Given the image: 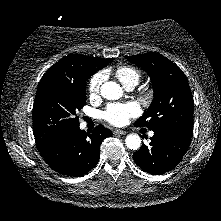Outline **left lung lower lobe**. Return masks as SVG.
<instances>
[{
  "label": "left lung lower lobe",
  "mask_w": 221,
  "mask_h": 221,
  "mask_svg": "<svg viewBox=\"0 0 221 221\" xmlns=\"http://www.w3.org/2000/svg\"><path fill=\"white\" fill-rule=\"evenodd\" d=\"M191 137L169 131H154L149 146L133 154L135 163L144 171L161 175L175 168L187 152Z\"/></svg>",
  "instance_id": "0a47b994"
}]
</instances>
